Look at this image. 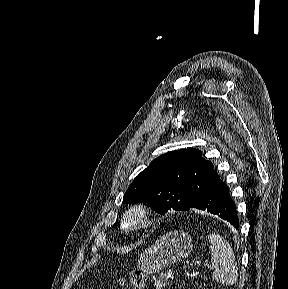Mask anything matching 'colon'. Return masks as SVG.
<instances>
[{
	"label": "colon",
	"instance_id": "colon-1",
	"mask_svg": "<svg viewBox=\"0 0 288 289\" xmlns=\"http://www.w3.org/2000/svg\"><path fill=\"white\" fill-rule=\"evenodd\" d=\"M145 274L141 270L133 271L128 279H122L120 281V286L123 289H143L145 287Z\"/></svg>",
	"mask_w": 288,
	"mask_h": 289
}]
</instances>
